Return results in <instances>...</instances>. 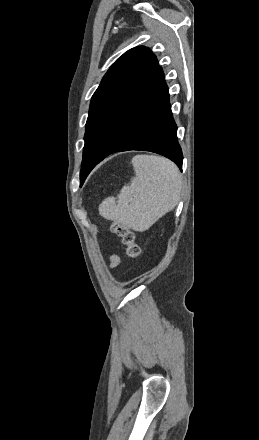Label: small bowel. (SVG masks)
<instances>
[{"label": "small bowel", "instance_id": "c3829d8e", "mask_svg": "<svg viewBox=\"0 0 259 440\" xmlns=\"http://www.w3.org/2000/svg\"><path fill=\"white\" fill-rule=\"evenodd\" d=\"M120 262V259L117 255H112L110 257V265L111 267H116Z\"/></svg>", "mask_w": 259, "mask_h": 440}]
</instances>
